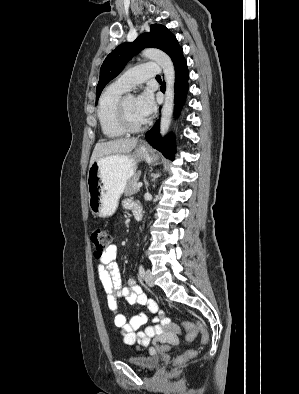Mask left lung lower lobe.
Returning a JSON list of instances; mask_svg holds the SVG:
<instances>
[{"label": "left lung lower lobe", "instance_id": "obj_1", "mask_svg": "<svg viewBox=\"0 0 299 394\" xmlns=\"http://www.w3.org/2000/svg\"><path fill=\"white\" fill-rule=\"evenodd\" d=\"M172 61L175 67V115L178 116L188 92L189 78L187 62L183 57L182 48L178 51ZM161 91H165L164 82L161 86ZM159 125L160 123L157 121L154 127L145 134V138L154 148L161 151L164 156L173 160L175 153V139L171 135L161 138L159 134Z\"/></svg>", "mask_w": 299, "mask_h": 394}]
</instances>
